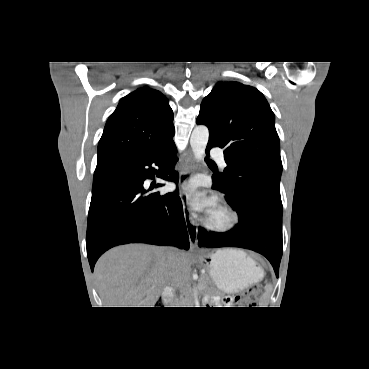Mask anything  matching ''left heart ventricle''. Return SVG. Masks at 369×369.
<instances>
[{"mask_svg":"<svg viewBox=\"0 0 369 369\" xmlns=\"http://www.w3.org/2000/svg\"><path fill=\"white\" fill-rule=\"evenodd\" d=\"M212 217L215 219V220H221V216L219 214H212Z\"/></svg>","mask_w":369,"mask_h":369,"instance_id":"b2bd125f","label":"left heart ventricle"}]
</instances>
